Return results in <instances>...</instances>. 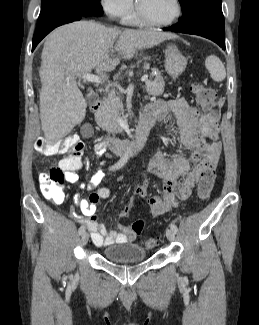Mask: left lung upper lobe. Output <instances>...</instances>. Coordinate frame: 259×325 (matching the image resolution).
<instances>
[{"mask_svg": "<svg viewBox=\"0 0 259 325\" xmlns=\"http://www.w3.org/2000/svg\"><path fill=\"white\" fill-rule=\"evenodd\" d=\"M179 2L183 10V18H185L190 15L198 5L206 4L221 7L222 0H179Z\"/></svg>", "mask_w": 259, "mask_h": 325, "instance_id": "1", "label": "left lung upper lobe"}]
</instances>
